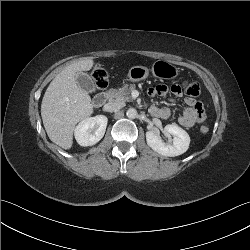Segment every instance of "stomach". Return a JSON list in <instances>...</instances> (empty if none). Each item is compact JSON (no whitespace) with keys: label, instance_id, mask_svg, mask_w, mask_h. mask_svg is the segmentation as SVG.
<instances>
[{"label":"stomach","instance_id":"obj_1","mask_svg":"<svg viewBox=\"0 0 250 250\" xmlns=\"http://www.w3.org/2000/svg\"><path fill=\"white\" fill-rule=\"evenodd\" d=\"M158 79H174L180 73V68L165 60H157L151 69ZM149 76V69L145 66H133L129 69L128 78L131 82H140Z\"/></svg>","mask_w":250,"mask_h":250}]
</instances>
